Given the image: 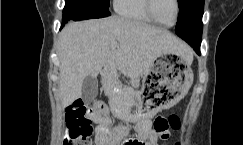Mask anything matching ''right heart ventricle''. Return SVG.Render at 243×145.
Masks as SVG:
<instances>
[{"instance_id":"1","label":"right heart ventricle","mask_w":243,"mask_h":145,"mask_svg":"<svg viewBox=\"0 0 243 145\" xmlns=\"http://www.w3.org/2000/svg\"><path fill=\"white\" fill-rule=\"evenodd\" d=\"M116 12L123 18L135 22L153 25L146 9V0H114Z\"/></svg>"}]
</instances>
